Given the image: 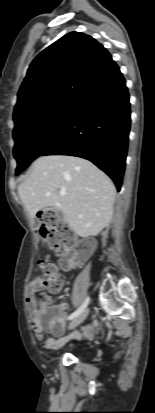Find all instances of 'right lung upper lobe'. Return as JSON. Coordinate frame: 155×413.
<instances>
[{
  "mask_svg": "<svg viewBox=\"0 0 155 413\" xmlns=\"http://www.w3.org/2000/svg\"><path fill=\"white\" fill-rule=\"evenodd\" d=\"M118 71L110 53L94 38L66 34L30 64L13 112L15 128L61 105L77 104Z\"/></svg>",
  "mask_w": 155,
  "mask_h": 413,
  "instance_id": "cb5924a9",
  "label": "right lung upper lobe"
}]
</instances>
